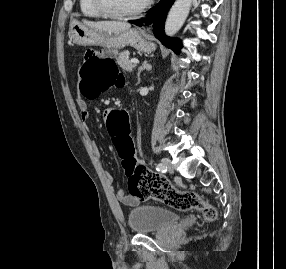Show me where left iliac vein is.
Segmentation results:
<instances>
[{
	"mask_svg": "<svg viewBox=\"0 0 286 269\" xmlns=\"http://www.w3.org/2000/svg\"><path fill=\"white\" fill-rule=\"evenodd\" d=\"M161 163L167 167V171L169 173H173V166L171 164V160L169 158H163Z\"/></svg>",
	"mask_w": 286,
	"mask_h": 269,
	"instance_id": "1",
	"label": "left iliac vein"
}]
</instances>
